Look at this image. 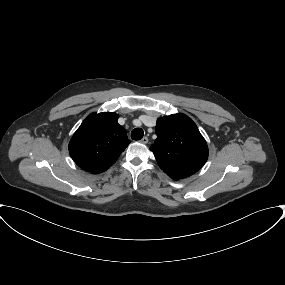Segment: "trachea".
I'll return each mask as SVG.
<instances>
[{"label": "trachea", "mask_w": 285, "mask_h": 285, "mask_svg": "<svg viewBox=\"0 0 285 285\" xmlns=\"http://www.w3.org/2000/svg\"><path fill=\"white\" fill-rule=\"evenodd\" d=\"M144 131L141 128H135L131 132V138L133 140H140L143 138Z\"/></svg>", "instance_id": "3493384b"}]
</instances>
